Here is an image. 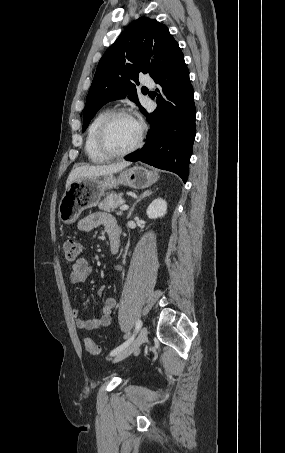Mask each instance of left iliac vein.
Masks as SVG:
<instances>
[{
    "label": "left iliac vein",
    "mask_w": 285,
    "mask_h": 453,
    "mask_svg": "<svg viewBox=\"0 0 285 453\" xmlns=\"http://www.w3.org/2000/svg\"><path fill=\"white\" fill-rule=\"evenodd\" d=\"M148 334V330L146 327H143L136 339L128 346L126 347L123 351L118 353L115 358L113 359V362H119L126 357H128L130 354H132L134 351H136L142 343L146 340Z\"/></svg>",
    "instance_id": "left-iliac-vein-1"
}]
</instances>
